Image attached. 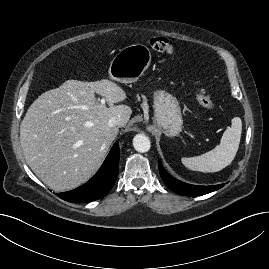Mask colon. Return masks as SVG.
I'll use <instances>...</instances> for the list:
<instances>
[{"label": "colon", "instance_id": "colon-1", "mask_svg": "<svg viewBox=\"0 0 269 269\" xmlns=\"http://www.w3.org/2000/svg\"><path fill=\"white\" fill-rule=\"evenodd\" d=\"M150 47L159 53L173 54L174 44L171 40L163 37H152L148 39ZM195 96L197 102L205 109H211L213 107V101L211 97L202 89L197 87L195 89Z\"/></svg>", "mask_w": 269, "mask_h": 269}]
</instances>
